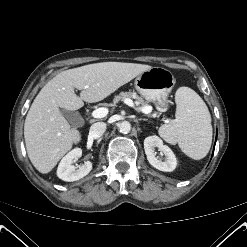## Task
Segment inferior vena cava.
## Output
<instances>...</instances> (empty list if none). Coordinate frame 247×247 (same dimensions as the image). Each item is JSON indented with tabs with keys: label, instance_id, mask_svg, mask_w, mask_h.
<instances>
[{
	"label": "inferior vena cava",
	"instance_id": "602c4592",
	"mask_svg": "<svg viewBox=\"0 0 247 247\" xmlns=\"http://www.w3.org/2000/svg\"><path fill=\"white\" fill-rule=\"evenodd\" d=\"M105 131L106 124L104 122H97L90 127L89 136L94 139H98L104 134Z\"/></svg>",
	"mask_w": 247,
	"mask_h": 247
}]
</instances>
